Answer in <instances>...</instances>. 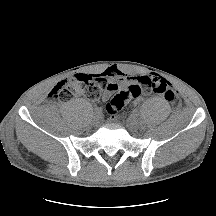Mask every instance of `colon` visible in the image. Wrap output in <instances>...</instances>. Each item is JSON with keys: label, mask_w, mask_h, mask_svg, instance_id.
Returning a JSON list of instances; mask_svg holds the SVG:
<instances>
[{"label": "colon", "mask_w": 216, "mask_h": 216, "mask_svg": "<svg viewBox=\"0 0 216 216\" xmlns=\"http://www.w3.org/2000/svg\"><path fill=\"white\" fill-rule=\"evenodd\" d=\"M106 87L107 80L102 76L75 74L59 82L50 92V96L61 102L69 100L76 94L97 100ZM143 91H152L174 106L178 105L176 90L170 82L159 76H144L138 84L122 89L109 101L106 105L107 114L115 116L131 99Z\"/></svg>", "instance_id": "1"}]
</instances>
